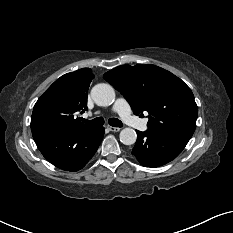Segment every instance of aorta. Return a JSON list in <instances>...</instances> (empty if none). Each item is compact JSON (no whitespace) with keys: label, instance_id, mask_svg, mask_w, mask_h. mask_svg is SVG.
Masks as SVG:
<instances>
[{"label":"aorta","instance_id":"obj_1","mask_svg":"<svg viewBox=\"0 0 233 233\" xmlns=\"http://www.w3.org/2000/svg\"><path fill=\"white\" fill-rule=\"evenodd\" d=\"M91 96L99 106H108L115 99V91L109 84H97L91 90ZM137 134L132 128H124L120 132V141L125 145H132L136 142Z\"/></svg>","mask_w":233,"mask_h":233}]
</instances>
